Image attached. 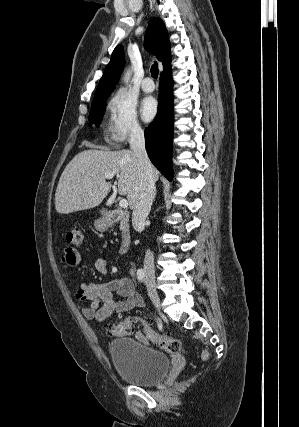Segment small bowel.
<instances>
[{"label":"small bowel","instance_id":"1","mask_svg":"<svg viewBox=\"0 0 299 427\" xmlns=\"http://www.w3.org/2000/svg\"><path fill=\"white\" fill-rule=\"evenodd\" d=\"M62 261L66 269L77 268L81 261L78 251L65 249ZM96 270L101 274L108 271V263L104 258H99L95 262ZM115 295L118 298H115ZM75 298L85 302L81 310L83 317L87 320L107 322L114 313H122L134 308L142 307L144 301L141 295L136 292L134 284L129 278H115L105 283L80 282L75 293ZM136 337L141 340H150L145 337L143 331H137Z\"/></svg>","mask_w":299,"mask_h":427}]
</instances>
